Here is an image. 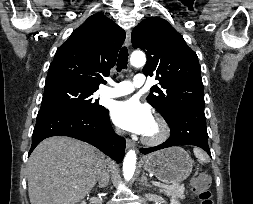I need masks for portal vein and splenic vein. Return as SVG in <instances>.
I'll list each match as a JSON object with an SVG mask.
<instances>
[{
    "mask_svg": "<svg viewBox=\"0 0 253 204\" xmlns=\"http://www.w3.org/2000/svg\"><path fill=\"white\" fill-rule=\"evenodd\" d=\"M152 184L154 186H157V187H161V188H174L176 187L178 184H173V185H165V184H162L160 182H157V181H152Z\"/></svg>",
    "mask_w": 253,
    "mask_h": 204,
    "instance_id": "18ae733b",
    "label": "portal vein and splenic vein"
}]
</instances>
